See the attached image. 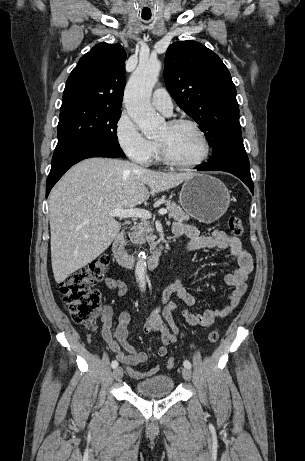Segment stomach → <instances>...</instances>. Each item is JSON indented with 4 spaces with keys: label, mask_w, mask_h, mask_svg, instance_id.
<instances>
[{
    "label": "stomach",
    "mask_w": 305,
    "mask_h": 461,
    "mask_svg": "<svg viewBox=\"0 0 305 461\" xmlns=\"http://www.w3.org/2000/svg\"><path fill=\"white\" fill-rule=\"evenodd\" d=\"M179 203L191 217L212 223L227 211L230 194L219 179L207 174H193L182 185Z\"/></svg>",
    "instance_id": "obj_1"
}]
</instances>
